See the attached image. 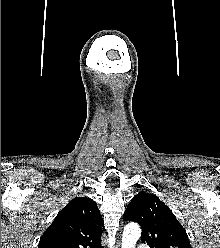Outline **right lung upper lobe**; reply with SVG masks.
<instances>
[{
	"mask_svg": "<svg viewBox=\"0 0 220 248\" xmlns=\"http://www.w3.org/2000/svg\"><path fill=\"white\" fill-rule=\"evenodd\" d=\"M103 218L87 197L72 199L43 233L38 248H103Z\"/></svg>",
	"mask_w": 220,
	"mask_h": 248,
	"instance_id": "obj_1",
	"label": "right lung upper lobe"
}]
</instances>
